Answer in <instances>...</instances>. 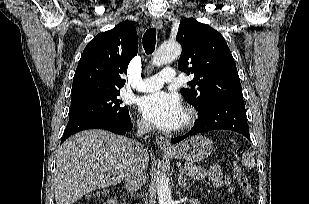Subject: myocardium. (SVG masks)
I'll return each instance as SVG.
<instances>
[{
  "label": "myocardium",
  "mask_w": 309,
  "mask_h": 204,
  "mask_svg": "<svg viewBox=\"0 0 309 204\" xmlns=\"http://www.w3.org/2000/svg\"><path fill=\"white\" fill-rule=\"evenodd\" d=\"M197 113L192 107H186L183 111V119L177 127L178 130H186L192 127L196 121Z\"/></svg>",
  "instance_id": "f54148a6"
}]
</instances>
